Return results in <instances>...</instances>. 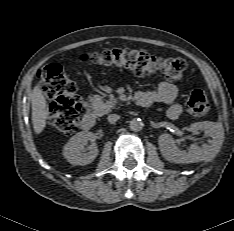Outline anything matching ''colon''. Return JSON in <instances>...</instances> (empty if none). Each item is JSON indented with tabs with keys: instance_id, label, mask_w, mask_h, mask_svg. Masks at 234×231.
<instances>
[{
	"instance_id": "1",
	"label": "colon",
	"mask_w": 234,
	"mask_h": 231,
	"mask_svg": "<svg viewBox=\"0 0 234 231\" xmlns=\"http://www.w3.org/2000/svg\"><path fill=\"white\" fill-rule=\"evenodd\" d=\"M84 61L106 67L129 69L137 76H158L168 81H178L186 68L180 57L153 56L144 51L106 50L90 53ZM40 86L44 95L53 101L48 124L59 132L70 135L78 127L81 105L76 84L58 64H49L39 72ZM186 111L193 117L205 115L209 102L205 92L194 89L186 102Z\"/></svg>"
}]
</instances>
